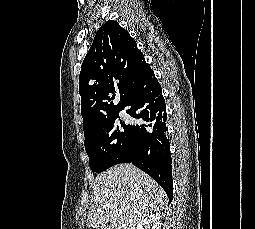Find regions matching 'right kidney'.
Segmentation results:
<instances>
[{"label": "right kidney", "instance_id": "right-kidney-1", "mask_svg": "<svg viewBox=\"0 0 255 229\" xmlns=\"http://www.w3.org/2000/svg\"><path fill=\"white\" fill-rule=\"evenodd\" d=\"M161 218L160 212L150 214L139 222L136 229H161Z\"/></svg>", "mask_w": 255, "mask_h": 229}]
</instances>
